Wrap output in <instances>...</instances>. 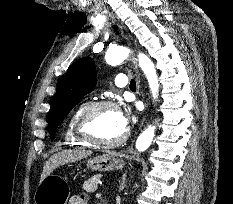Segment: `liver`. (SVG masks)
<instances>
[{
    "label": "liver",
    "instance_id": "1",
    "mask_svg": "<svg viewBox=\"0 0 233 204\" xmlns=\"http://www.w3.org/2000/svg\"><path fill=\"white\" fill-rule=\"evenodd\" d=\"M92 154V151H85L80 149L75 150H63L51 156L44 164L43 171L41 174L40 182L50 175V173L59 167L67 163L75 162Z\"/></svg>",
    "mask_w": 233,
    "mask_h": 204
}]
</instances>
